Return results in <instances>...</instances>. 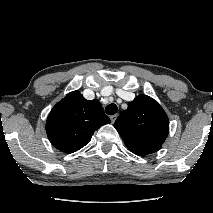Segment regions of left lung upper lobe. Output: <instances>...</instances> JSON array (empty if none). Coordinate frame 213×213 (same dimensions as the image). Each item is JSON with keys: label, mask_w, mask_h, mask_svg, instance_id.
<instances>
[{"label": "left lung upper lobe", "mask_w": 213, "mask_h": 213, "mask_svg": "<svg viewBox=\"0 0 213 213\" xmlns=\"http://www.w3.org/2000/svg\"><path fill=\"white\" fill-rule=\"evenodd\" d=\"M127 148L145 156L158 151L169 133L163 108L151 97L137 96L114 123Z\"/></svg>", "instance_id": "obj_1"}]
</instances>
